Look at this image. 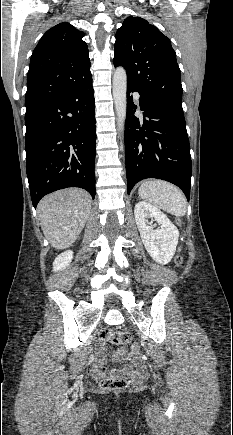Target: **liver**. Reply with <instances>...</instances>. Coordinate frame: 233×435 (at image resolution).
Listing matches in <instances>:
<instances>
[{"mask_svg":"<svg viewBox=\"0 0 233 435\" xmlns=\"http://www.w3.org/2000/svg\"><path fill=\"white\" fill-rule=\"evenodd\" d=\"M91 211V197L82 189L67 188L45 196L37 206L41 228L52 247L71 246Z\"/></svg>","mask_w":233,"mask_h":435,"instance_id":"6515ba94","label":"liver"}]
</instances>
